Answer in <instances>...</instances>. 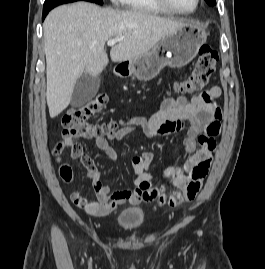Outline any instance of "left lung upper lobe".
<instances>
[{
	"label": "left lung upper lobe",
	"mask_w": 265,
	"mask_h": 269,
	"mask_svg": "<svg viewBox=\"0 0 265 269\" xmlns=\"http://www.w3.org/2000/svg\"><path fill=\"white\" fill-rule=\"evenodd\" d=\"M207 2L208 5L210 6H214L216 5V1L215 0H205Z\"/></svg>",
	"instance_id": "obj_1"
}]
</instances>
